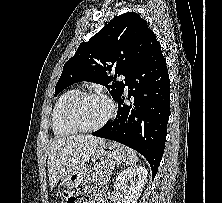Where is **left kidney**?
I'll return each instance as SVG.
<instances>
[{
    "label": "left kidney",
    "instance_id": "1",
    "mask_svg": "<svg viewBox=\"0 0 222 203\" xmlns=\"http://www.w3.org/2000/svg\"><path fill=\"white\" fill-rule=\"evenodd\" d=\"M148 171L143 166H131L116 178L114 192L122 197V203H137L147 181Z\"/></svg>",
    "mask_w": 222,
    "mask_h": 203
}]
</instances>
